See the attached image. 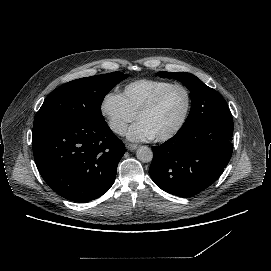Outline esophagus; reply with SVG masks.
I'll use <instances>...</instances> for the list:
<instances>
[{
    "label": "esophagus",
    "mask_w": 271,
    "mask_h": 271,
    "mask_svg": "<svg viewBox=\"0 0 271 271\" xmlns=\"http://www.w3.org/2000/svg\"><path fill=\"white\" fill-rule=\"evenodd\" d=\"M126 148L130 151L136 150L138 148L137 144H133V143H126Z\"/></svg>",
    "instance_id": "esophagus-1"
}]
</instances>
